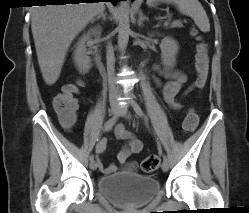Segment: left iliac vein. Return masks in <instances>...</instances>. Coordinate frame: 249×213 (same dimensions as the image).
Masks as SVG:
<instances>
[{
  "label": "left iliac vein",
  "instance_id": "4c4485c4",
  "mask_svg": "<svg viewBox=\"0 0 249 213\" xmlns=\"http://www.w3.org/2000/svg\"><path fill=\"white\" fill-rule=\"evenodd\" d=\"M120 113H121V116H122V117L131 118V114L128 112L126 106H122V107H121ZM161 167H162V170H163L164 172L168 171V169H169V163H168V161H163Z\"/></svg>",
  "mask_w": 249,
  "mask_h": 213
}]
</instances>
